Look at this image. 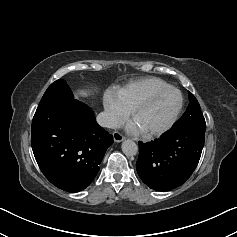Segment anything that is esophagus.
Listing matches in <instances>:
<instances>
[{
    "mask_svg": "<svg viewBox=\"0 0 237 237\" xmlns=\"http://www.w3.org/2000/svg\"><path fill=\"white\" fill-rule=\"evenodd\" d=\"M113 138L115 142H121L125 139V137L118 131H115L113 133Z\"/></svg>",
    "mask_w": 237,
    "mask_h": 237,
    "instance_id": "34e87169",
    "label": "esophagus"
}]
</instances>
